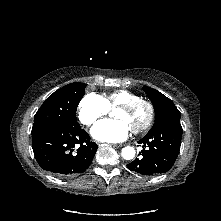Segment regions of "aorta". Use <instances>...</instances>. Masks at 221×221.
I'll return each instance as SVG.
<instances>
[{
  "label": "aorta",
  "mask_w": 221,
  "mask_h": 221,
  "mask_svg": "<svg viewBox=\"0 0 221 221\" xmlns=\"http://www.w3.org/2000/svg\"><path fill=\"white\" fill-rule=\"evenodd\" d=\"M121 154L125 160H131L135 156V149L131 146H126L122 149Z\"/></svg>",
  "instance_id": "aorta-1"
}]
</instances>
